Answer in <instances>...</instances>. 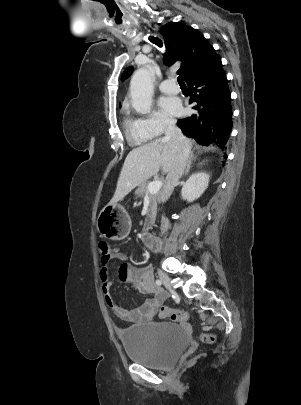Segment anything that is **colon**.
Listing matches in <instances>:
<instances>
[{
  "label": "colon",
  "mask_w": 301,
  "mask_h": 405,
  "mask_svg": "<svg viewBox=\"0 0 301 405\" xmlns=\"http://www.w3.org/2000/svg\"><path fill=\"white\" fill-rule=\"evenodd\" d=\"M98 247L103 257H107L109 255L111 249L107 242L100 241L98 243ZM159 317L168 318L175 322H187L189 319V315L185 311L172 309L166 306H162L159 309ZM200 338L205 343H212L214 341V337L209 334H202Z\"/></svg>",
  "instance_id": "colon-1"
}]
</instances>
